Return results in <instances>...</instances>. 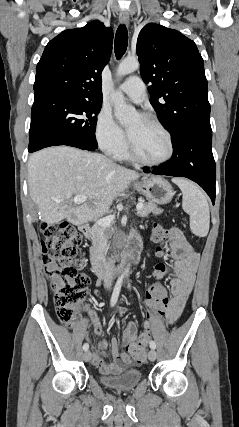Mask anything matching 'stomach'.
I'll return each instance as SVG.
<instances>
[{
  "label": "stomach",
  "mask_w": 239,
  "mask_h": 427,
  "mask_svg": "<svg viewBox=\"0 0 239 427\" xmlns=\"http://www.w3.org/2000/svg\"><path fill=\"white\" fill-rule=\"evenodd\" d=\"M134 188L151 202L160 205L169 203L174 196L169 182L158 176L144 178L141 182H136Z\"/></svg>",
  "instance_id": "1"
}]
</instances>
